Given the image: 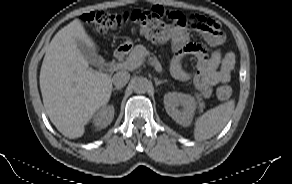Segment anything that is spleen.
Returning a JSON list of instances; mask_svg holds the SVG:
<instances>
[{"mask_svg":"<svg viewBox=\"0 0 292 184\" xmlns=\"http://www.w3.org/2000/svg\"><path fill=\"white\" fill-rule=\"evenodd\" d=\"M234 108L235 101L230 100L196 118L194 128L195 140H206L220 132L229 121Z\"/></svg>","mask_w":292,"mask_h":184,"instance_id":"3e777b00","label":"spleen"}]
</instances>
